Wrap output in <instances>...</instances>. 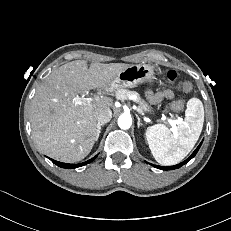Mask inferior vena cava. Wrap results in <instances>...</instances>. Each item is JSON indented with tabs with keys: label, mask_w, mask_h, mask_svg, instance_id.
<instances>
[{
	"label": "inferior vena cava",
	"mask_w": 231,
	"mask_h": 231,
	"mask_svg": "<svg viewBox=\"0 0 231 231\" xmlns=\"http://www.w3.org/2000/svg\"><path fill=\"white\" fill-rule=\"evenodd\" d=\"M112 118V112L109 108H101L96 111L97 125L108 123Z\"/></svg>",
	"instance_id": "602c4592"
}]
</instances>
